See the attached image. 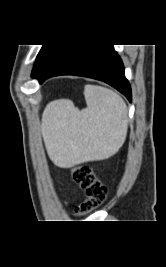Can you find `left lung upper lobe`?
<instances>
[{
    "instance_id": "left-lung-upper-lobe-1",
    "label": "left lung upper lobe",
    "mask_w": 166,
    "mask_h": 267,
    "mask_svg": "<svg viewBox=\"0 0 166 267\" xmlns=\"http://www.w3.org/2000/svg\"><path fill=\"white\" fill-rule=\"evenodd\" d=\"M55 44L50 45H43L40 52L37 55L36 62L34 64L33 70H32V77L38 70L39 66L41 65L43 59L46 57V55L55 47Z\"/></svg>"
}]
</instances>
